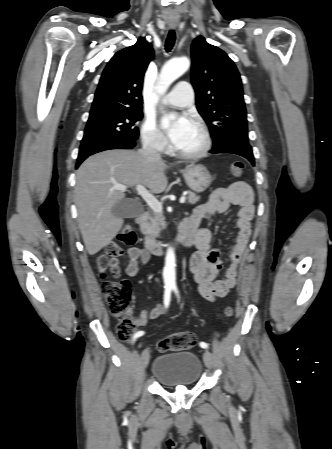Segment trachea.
<instances>
[{
  "mask_svg": "<svg viewBox=\"0 0 332 449\" xmlns=\"http://www.w3.org/2000/svg\"><path fill=\"white\" fill-rule=\"evenodd\" d=\"M175 38H176V36H175L174 30H170L168 33L166 42H165V49L167 52H170L171 49L173 48L174 43H175Z\"/></svg>",
  "mask_w": 332,
  "mask_h": 449,
  "instance_id": "obj_1",
  "label": "trachea"
}]
</instances>
